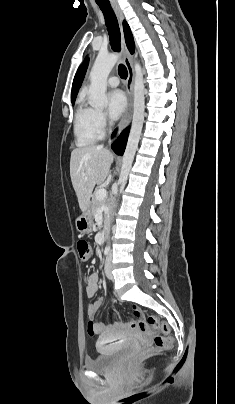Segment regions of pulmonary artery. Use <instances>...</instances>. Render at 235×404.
<instances>
[{
    "mask_svg": "<svg viewBox=\"0 0 235 404\" xmlns=\"http://www.w3.org/2000/svg\"><path fill=\"white\" fill-rule=\"evenodd\" d=\"M107 83L111 87H117L119 85V79L116 76H111L108 78Z\"/></svg>",
    "mask_w": 235,
    "mask_h": 404,
    "instance_id": "1",
    "label": "pulmonary artery"
}]
</instances>
